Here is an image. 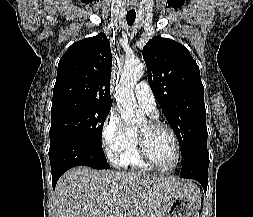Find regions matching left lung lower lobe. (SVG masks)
<instances>
[{"mask_svg":"<svg viewBox=\"0 0 253 217\" xmlns=\"http://www.w3.org/2000/svg\"><path fill=\"white\" fill-rule=\"evenodd\" d=\"M209 154L207 146L194 147L185 157L180 177L197 180L206 192Z\"/></svg>","mask_w":253,"mask_h":217,"instance_id":"left-lung-lower-lobe-1","label":"left lung lower lobe"}]
</instances>
